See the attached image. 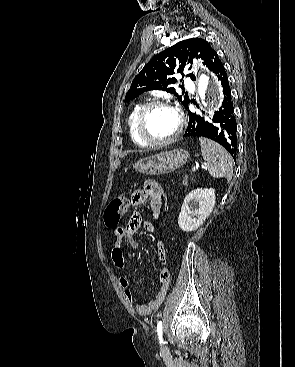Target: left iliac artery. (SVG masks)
Listing matches in <instances>:
<instances>
[{
  "mask_svg": "<svg viewBox=\"0 0 295 367\" xmlns=\"http://www.w3.org/2000/svg\"><path fill=\"white\" fill-rule=\"evenodd\" d=\"M162 329H163V326H162V322L159 321L158 324H157V334H158V339H159V342L162 343Z\"/></svg>",
  "mask_w": 295,
  "mask_h": 367,
  "instance_id": "1",
  "label": "left iliac artery"
}]
</instances>
